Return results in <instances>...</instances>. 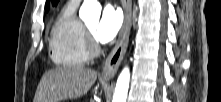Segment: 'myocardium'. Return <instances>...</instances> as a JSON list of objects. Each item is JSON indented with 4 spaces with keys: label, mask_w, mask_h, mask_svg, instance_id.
I'll return each instance as SVG.
<instances>
[{
    "label": "myocardium",
    "mask_w": 221,
    "mask_h": 102,
    "mask_svg": "<svg viewBox=\"0 0 221 102\" xmlns=\"http://www.w3.org/2000/svg\"><path fill=\"white\" fill-rule=\"evenodd\" d=\"M85 33H86V42L89 53L96 54L98 51V47L92 38L91 30L85 27Z\"/></svg>",
    "instance_id": "f54148a6"
}]
</instances>
